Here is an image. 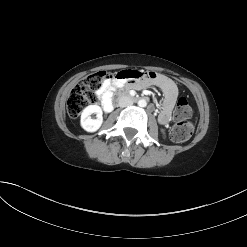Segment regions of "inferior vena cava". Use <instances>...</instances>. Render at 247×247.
Wrapping results in <instances>:
<instances>
[{
	"label": "inferior vena cava",
	"mask_w": 247,
	"mask_h": 247,
	"mask_svg": "<svg viewBox=\"0 0 247 247\" xmlns=\"http://www.w3.org/2000/svg\"><path fill=\"white\" fill-rule=\"evenodd\" d=\"M133 104L132 98L129 95H122L119 97L118 105L120 107H127Z\"/></svg>",
	"instance_id": "1"
}]
</instances>
